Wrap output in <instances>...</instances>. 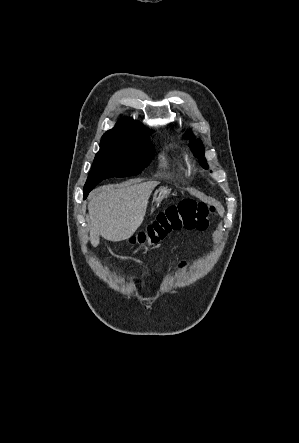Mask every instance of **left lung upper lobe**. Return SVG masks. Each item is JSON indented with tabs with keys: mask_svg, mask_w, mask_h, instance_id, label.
Returning a JSON list of instances; mask_svg holds the SVG:
<instances>
[{
	"mask_svg": "<svg viewBox=\"0 0 299 443\" xmlns=\"http://www.w3.org/2000/svg\"><path fill=\"white\" fill-rule=\"evenodd\" d=\"M189 135H190V132H187L185 134V137H188ZM190 147H191L192 151L194 152V155L199 158V163L205 169H207L208 166L206 164L205 158L203 157L204 156V148H203L201 141L192 139V142L190 143Z\"/></svg>",
	"mask_w": 299,
	"mask_h": 443,
	"instance_id": "left-lung-upper-lobe-1",
	"label": "left lung upper lobe"
}]
</instances>
